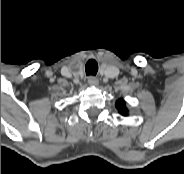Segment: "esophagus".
I'll return each instance as SVG.
<instances>
[{
	"mask_svg": "<svg viewBox=\"0 0 184 174\" xmlns=\"http://www.w3.org/2000/svg\"><path fill=\"white\" fill-rule=\"evenodd\" d=\"M88 83L91 86H97L99 84V80L96 77H94V76H90L88 78Z\"/></svg>",
	"mask_w": 184,
	"mask_h": 174,
	"instance_id": "obj_1",
	"label": "esophagus"
}]
</instances>
